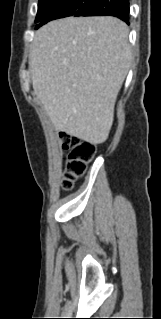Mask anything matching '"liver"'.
<instances>
[{"label":"liver","instance_id":"liver-1","mask_svg":"<svg viewBox=\"0 0 161 319\" xmlns=\"http://www.w3.org/2000/svg\"><path fill=\"white\" fill-rule=\"evenodd\" d=\"M128 33L109 16L69 17L36 31L29 56L33 89L55 130L106 141L131 65Z\"/></svg>","mask_w":161,"mask_h":319}]
</instances>
